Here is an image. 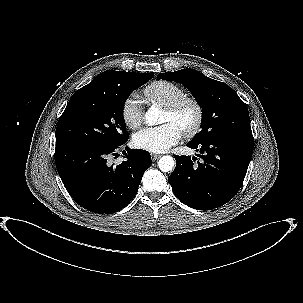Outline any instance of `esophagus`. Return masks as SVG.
<instances>
[{
	"label": "esophagus",
	"instance_id": "obj_1",
	"mask_svg": "<svg viewBox=\"0 0 303 303\" xmlns=\"http://www.w3.org/2000/svg\"><path fill=\"white\" fill-rule=\"evenodd\" d=\"M152 160L155 161L161 157L159 154H151Z\"/></svg>",
	"mask_w": 303,
	"mask_h": 303
}]
</instances>
